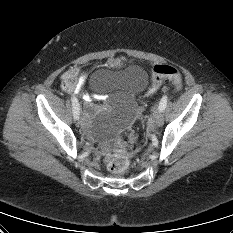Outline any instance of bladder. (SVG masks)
Returning a JSON list of instances; mask_svg holds the SVG:
<instances>
[{
    "instance_id": "bladder-1",
    "label": "bladder",
    "mask_w": 233,
    "mask_h": 233,
    "mask_svg": "<svg viewBox=\"0 0 233 233\" xmlns=\"http://www.w3.org/2000/svg\"><path fill=\"white\" fill-rule=\"evenodd\" d=\"M90 86L96 91H121L127 94L143 92L148 86V74L140 66L132 65L123 70L99 69L90 78ZM138 111L134 100L126 98L117 104L108 103L105 109L91 111L87 132L97 140L109 139L127 129Z\"/></svg>"
}]
</instances>
